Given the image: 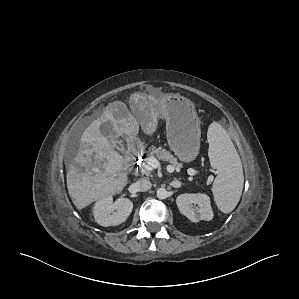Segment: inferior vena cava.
Returning <instances> with one entry per match:
<instances>
[{
    "mask_svg": "<svg viewBox=\"0 0 299 299\" xmlns=\"http://www.w3.org/2000/svg\"><path fill=\"white\" fill-rule=\"evenodd\" d=\"M135 184H136L137 189L142 192H146V191L150 190L152 187L151 182L146 178H142V179L138 180Z\"/></svg>",
    "mask_w": 299,
    "mask_h": 299,
    "instance_id": "obj_1",
    "label": "inferior vena cava"
}]
</instances>
